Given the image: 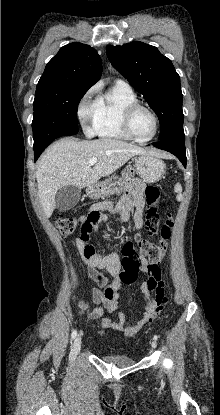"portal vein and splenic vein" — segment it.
Listing matches in <instances>:
<instances>
[{"instance_id": "1", "label": "portal vein and splenic vein", "mask_w": 220, "mask_h": 415, "mask_svg": "<svg viewBox=\"0 0 220 415\" xmlns=\"http://www.w3.org/2000/svg\"><path fill=\"white\" fill-rule=\"evenodd\" d=\"M97 163V158H95V157H93V158H91L90 160H89V164L90 165H94V164H96Z\"/></svg>"}]
</instances>
